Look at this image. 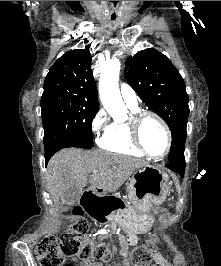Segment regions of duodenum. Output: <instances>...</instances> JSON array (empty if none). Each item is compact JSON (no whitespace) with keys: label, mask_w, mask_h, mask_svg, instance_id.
<instances>
[{"label":"duodenum","mask_w":221,"mask_h":266,"mask_svg":"<svg viewBox=\"0 0 221 266\" xmlns=\"http://www.w3.org/2000/svg\"><path fill=\"white\" fill-rule=\"evenodd\" d=\"M78 203L85 206V213L92 216L96 223H110L115 220L122 226H131L125 216V206L117 194L108 189H84Z\"/></svg>","instance_id":"obj_1"}]
</instances>
